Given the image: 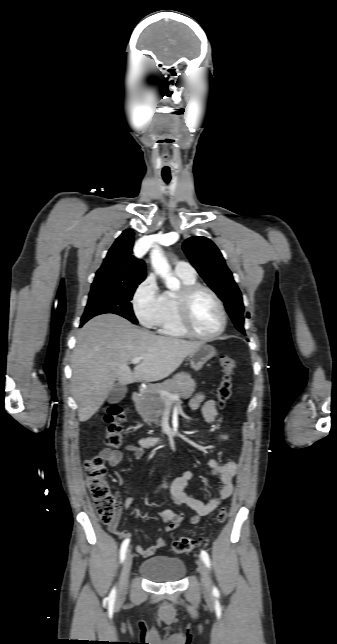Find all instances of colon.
Here are the masks:
<instances>
[{
	"mask_svg": "<svg viewBox=\"0 0 337 644\" xmlns=\"http://www.w3.org/2000/svg\"><path fill=\"white\" fill-rule=\"evenodd\" d=\"M219 366L222 371V378L217 387L216 396L219 406H223L232 395V374L236 368V361L229 356H221ZM125 409L122 406H111L105 415L107 424L105 431V444L110 449H117L122 443ZM87 486L94 502L95 510L100 520L109 524L117 515L116 500L112 492L111 484L106 476V465L103 458L95 456L85 462ZM227 511L220 508L216 520L218 523L225 522ZM200 541L183 536L176 539L172 544V550L177 554L189 552L196 548Z\"/></svg>",
	"mask_w": 337,
	"mask_h": 644,
	"instance_id": "colon-1",
	"label": "colon"
}]
</instances>
